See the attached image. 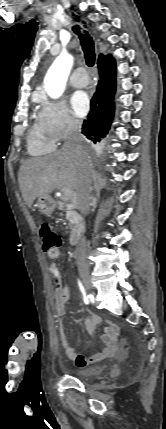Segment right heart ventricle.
Instances as JSON below:
<instances>
[{"label":"right heart ventricle","instance_id":"e07e8e85","mask_svg":"<svg viewBox=\"0 0 166 429\" xmlns=\"http://www.w3.org/2000/svg\"><path fill=\"white\" fill-rule=\"evenodd\" d=\"M55 141L39 123H35L28 136V150L32 155H42L55 149Z\"/></svg>","mask_w":166,"mask_h":429}]
</instances>
